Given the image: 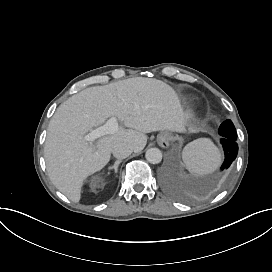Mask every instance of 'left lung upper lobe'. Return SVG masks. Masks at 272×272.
<instances>
[{"mask_svg":"<svg viewBox=\"0 0 272 272\" xmlns=\"http://www.w3.org/2000/svg\"><path fill=\"white\" fill-rule=\"evenodd\" d=\"M219 134L224 137L236 139V129L231 120L224 121L219 127Z\"/></svg>","mask_w":272,"mask_h":272,"instance_id":"1","label":"left lung upper lobe"}]
</instances>
